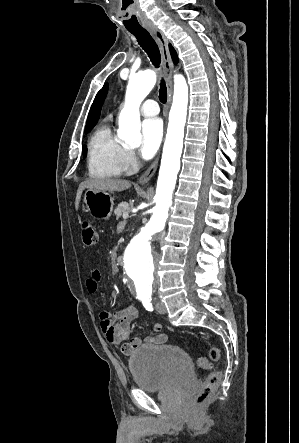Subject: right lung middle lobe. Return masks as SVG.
Listing matches in <instances>:
<instances>
[{
    "instance_id": "obj_1",
    "label": "right lung middle lobe",
    "mask_w": 299,
    "mask_h": 443,
    "mask_svg": "<svg viewBox=\"0 0 299 443\" xmlns=\"http://www.w3.org/2000/svg\"><path fill=\"white\" fill-rule=\"evenodd\" d=\"M94 126H95V124L86 126L85 127V133H88L89 131H91Z\"/></svg>"
}]
</instances>
